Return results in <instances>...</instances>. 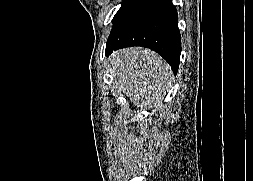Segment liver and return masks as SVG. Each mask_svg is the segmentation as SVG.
I'll use <instances>...</instances> for the list:
<instances>
[{
  "label": "liver",
  "instance_id": "6515ba94",
  "mask_svg": "<svg viewBox=\"0 0 253 181\" xmlns=\"http://www.w3.org/2000/svg\"><path fill=\"white\" fill-rule=\"evenodd\" d=\"M117 86L137 107L156 106L168 91L170 66L154 51L140 47L121 49L111 57Z\"/></svg>",
  "mask_w": 253,
  "mask_h": 181
}]
</instances>
